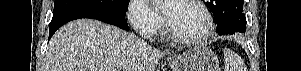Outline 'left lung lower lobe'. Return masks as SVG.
Listing matches in <instances>:
<instances>
[{
    "label": "left lung lower lobe",
    "instance_id": "left-lung-lower-lobe-1",
    "mask_svg": "<svg viewBox=\"0 0 301 71\" xmlns=\"http://www.w3.org/2000/svg\"><path fill=\"white\" fill-rule=\"evenodd\" d=\"M218 25L219 35L235 34V32H245L246 30V17L243 11H228L215 20Z\"/></svg>",
    "mask_w": 301,
    "mask_h": 71
}]
</instances>
